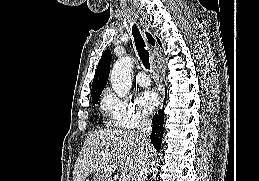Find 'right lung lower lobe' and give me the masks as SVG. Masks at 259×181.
<instances>
[{"label":"right lung lower lobe","mask_w":259,"mask_h":181,"mask_svg":"<svg viewBox=\"0 0 259 181\" xmlns=\"http://www.w3.org/2000/svg\"><path fill=\"white\" fill-rule=\"evenodd\" d=\"M166 96V91H165ZM166 102V98H165ZM164 102V103H165ZM163 123H164V113L163 110H159L158 114L156 113L153 117V127H152V133H151V143L159 151L162 143V137H163Z\"/></svg>","instance_id":"98d812e1"}]
</instances>
